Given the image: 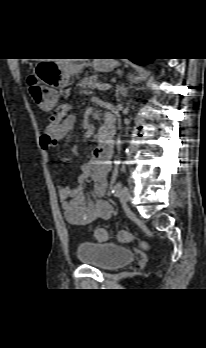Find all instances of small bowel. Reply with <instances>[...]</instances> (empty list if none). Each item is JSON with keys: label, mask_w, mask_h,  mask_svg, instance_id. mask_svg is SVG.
Listing matches in <instances>:
<instances>
[{"label": "small bowel", "mask_w": 206, "mask_h": 348, "mask_svg": "<svg viewBox=\"0 0 206 348\" xmlns=\"http://www.w3.org/2000/svg\"><path fill=\"white\" fill-rule=\"evenodd\" d=\"M69 107L64 105L57 111L55 121L51 120L46 132L40 137V147L49 163V151L56 148L60 140L69 133L75 125V116L68 113ZM112 150L97 147L92 153L91 160L82 166V174L77 183L70 187L59 185L58 193L62 210L68 223L86 225L96 220H106L112 215L111 205L102 198L107 188V176L110 170ZM90 179L96 196L94 200L86 197L84 182Z\"/></svg>", "instance_id": "1"}]
</instances>
